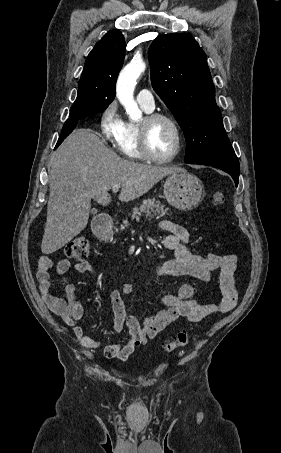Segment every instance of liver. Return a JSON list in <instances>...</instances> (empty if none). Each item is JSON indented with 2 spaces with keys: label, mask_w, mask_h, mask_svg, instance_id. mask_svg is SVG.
Returning a JSON list of instances; mask_svg holds the SVG:
<instances>
[{
  "label": "liver",
  "mask_w": 281,
  "mask_h": 453,
  "mask_svg": "<svg viewBox=\"0 0 281 453\" xmlns=\"http://www.w3.org/2000/svg\"><path fill=\"white\" fill-rule=\"evenodd\" d=\"M47 222L41 251L55 253L85 229L91 198L108 206V192L121 184L118 196L129 202L148 192L168 174L184 172L181 166H154L121 158L105 146L92 128H75L50 160Z\"/></svg>",
  "instance_id": "6515ba94"
}]
</instances>
